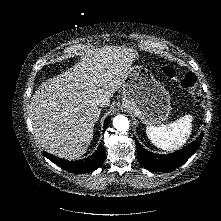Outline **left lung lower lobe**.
<instances>
[{
	"label": "left lung lower lobe",
	"instance_id": "obj_1",
	"mask_svg": "<svg viewBox=\"0 0 221 221\" xmlns=\"http://www.w3.org/2000/svg\"><path fill=\"white\" fill-rule=\"evenodd\" d=\"M204 133L188 146L168 155L152 153L144 149L135 139L137 147V157L142 166L151 171H169L185 163L198 149Z\"/></svg>",
	"mask_w": 221,
	"mask_h": 221
}]
</instances>
